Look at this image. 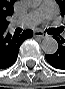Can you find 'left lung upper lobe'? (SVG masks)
Segmentation results:
<instances>
[{"label": "left lung upper lobe", "mask_w": 65, "mask_h": 89, "mask_svg": "<svg viewBox=\"0 0 65 89\" xmlns=\"http://www.w3.org/2000/svg\"><path fill=\"white\" fill-rule=\"evenodd\" d=\"M56 1L60 6L61 15L64 16L65 15V0H56Z\"/></svg>", "instance_id": "obj_1"}]
</instances>
